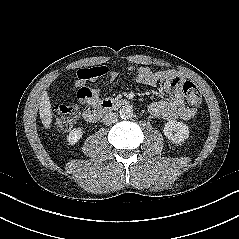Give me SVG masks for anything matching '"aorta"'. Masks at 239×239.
I'll list each match as a JSON object with an SVG mask.
<instances>
[{"instance_id":"aorta-1","label":"aorta","mask_w":239,"mask_h":239,"mask_svg":"<svg viewBox=\"0 0 239 239\" xmlns=\"http://www.w3.org/2000/svg\"><path fill=\"white\" fill-rule=\"evenodd\" d=\"M120 117L122 119H129L133 116V108L130 105H124L119 110Z\"/></svg>"}]
</instances>
